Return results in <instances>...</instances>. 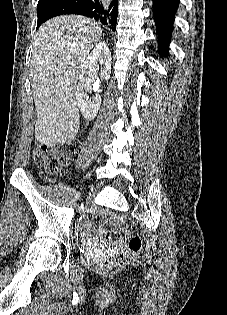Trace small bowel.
I'll list each match as a JSON object with an SVG mask.
<instances>
[{
	"instance_id": "c3829d8e",
	"label": "small bowel",
	"mask_w": 227,
	"mask_h": 315,
	"mask_svg": "<svg viewBox=\"0 0 227 315\" xmlns=\"http://www.w3.org/2000/svg\"><path fill=\"white\" fill-rule=\"evenodd\" d=\"M97 233L100 235V236H106V231L104 229V227L100 226L98 229H97ZM92 236V233L90 230H87L85 231L84 233V237L89 239L90 237Z\"/></svg>"
}]
</instances>
